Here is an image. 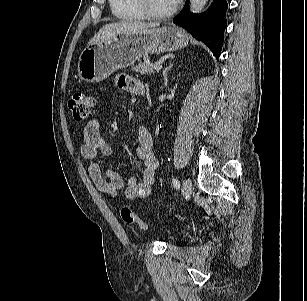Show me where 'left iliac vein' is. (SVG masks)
<instances>
[{
    "label": "left iliac vein",
    "mask_w": 307,
    "mask_h": 301,
    "mask_svg": "<svg viewBox=\"0 0 307 301\" xmlns=\"http://www.w3.org/2000/svg\"><path fill=\"white\" fill-rule=\"evenodd\" d=\"M182 191L186 197H190L192 192V183L189 178H185L182 183Z\"/></svg>",
    "instance_id": "1"
}]
</instances>
